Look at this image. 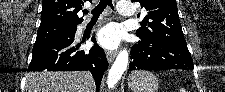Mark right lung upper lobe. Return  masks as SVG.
Returning a JSON list of instances; mask_svg holds the SVG:
<instances>
[{
	"label": "right lung upper lobe",
	"mask_w": 225,
	"mask_h": 92,
	"mask_svg": "<svg viewBox=\"0 0 225 92\" xmlns=\"http://www.w3.org/2000/svg\"><path fill=\"white\" fill-rule=\"evenodd\" d=\"M86 0H43L40 26L60 24L77 26L83 21L77 13Z\"/></svg>",
	"instance_id": "cb5924a9"
}]
</instances>
